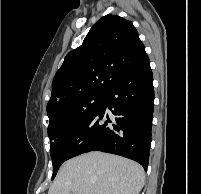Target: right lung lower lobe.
<instances>
[{
	"mask_svg": "<svg viewBox=\"0 0 201 194\" xmlns=\"http://www.w3.org/2000/svg\"><path fill=\"white\" fill-rule=\"evenodd\" d=\"M153 105V76L147 56L111 87L97 111L62 141L56 154L60 163L82 153L102 151L135 160L147 170Z\"/></svg>",
	"mask_w": 201,
	"mask_h": 194,
	"instance_id": "1",
	"label": "right lung lower lobe"
}]
</instances>
